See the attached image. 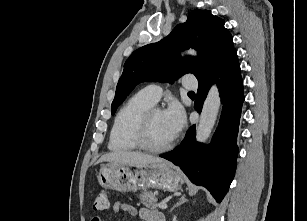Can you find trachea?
I'll use <instances>...</instances> for the list:
<instances>
[{
  "label": "trachea",
  "instance_id": "1",
  "mask_svg": "<svg viewBox=\"0 0 307 221\" xmlns=\"http://www.w3.org/2000/svg\"><path fill=\"white\" fill-rule=\"evenodd\" d=\"M188 93H189V94H194V92H193V91H189Z\"/></svg>",
  "mask_w": 307,
  "mask_h": 221
}]
</instances>
